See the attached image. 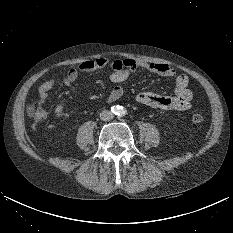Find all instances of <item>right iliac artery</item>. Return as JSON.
<instances>
[{
	"instance_id": "82829eb1",
	"label": "right iliac artery",
	"mask_w": 233,
	"mask_h": 233,
	"mask_svg": "<svg viewBox=\"0 0 233 233\" xmlns=\"http://www.w3.org/2000/svg\"><path fill=\"white\" fill-rule=\"evenodd\" d=\"M111 111H112L114 114H116V113H118V111H119V107H118V106H113V107H111Z\"/></svg>"
}]
</instances>
